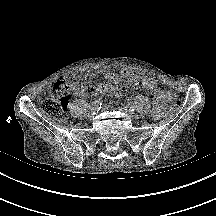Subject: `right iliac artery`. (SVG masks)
<instances>
[{
  "label": "right iliac artery",
  "mask_w": 216,
  "mask_h": 216,
  "mask_svg": "<svg viewBox=\"0 0 216 216\" xmlns=\"http://www.w3.org/2000/svg\"><path fill=\"white\" fill-rule=\"evenodd\" d=\"M101 105H102V101L101 99L95 101L91 107V110H94L95 112H98L101 108Z\"/></svg>",
  "instance_id": "1"
}]
</instances>
